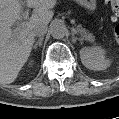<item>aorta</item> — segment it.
Wrapping results in <instances>:
<instances>
[{
    "label": "aorta",
    "mask_w": 119,
    "mask_h": 119,
    "mask_svg": "<svg viewBox=\"0 0 119 119\" xmlns=\"http://www.w3.org/2000/svg\"><path fill=\"white\" fill-rule=\"evenodd\" d=\"M68 30L64 23L62 22H54L50 27V33L53 38L61 39L66 36Z\"/></svg>",
    "instance_id": "1"
}]
</instances>
